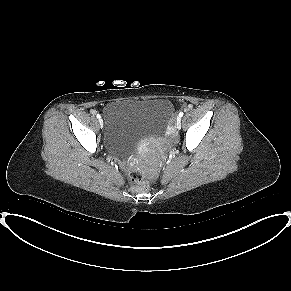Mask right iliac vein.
<instances>
[{
  "mask_svg": "<svg viewBox=\"0 0 291 291\" xmlns=\"http://www.w3.org/2000/svg\"><path fill=\"white\" fill-rule=\"evenodd\" d=\"M99 122H100V125L102 126V123H103L102 119H99Z\"/></svg>",
  "mask_w": 291,
  "mask_h": 291,
  "instance_id": "1",
  "label": "right iliac vein"
}]
</instances>
